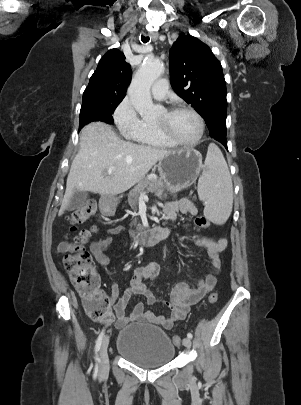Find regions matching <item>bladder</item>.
I'll return each mask as SVG.
<instances>
[{
	"instance_id": "bladder-1",
	"label": "bladder",
	"mask_w": 301,
	"mask_h": 405,
	"mask_svg": "<svg viewBox=\"0 0 301 405\" xmlns=\"http://www.w3.org/2000/svg\"><path fill=\"white\" fill-rule=\"evenodd\" d=\"M116 351L135 365L156 368L172 361L175 346L160 328L150 324H133L120 330Z\"/></svg>"
}]
</instances>
